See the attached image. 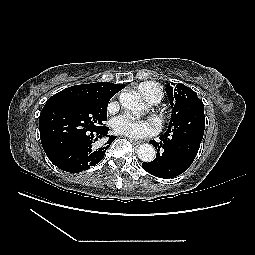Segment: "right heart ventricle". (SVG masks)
<instances>
[{"mask_svg":"<svg viewBox=\"0 0 255 255\" xmlns=\"http://www.w3.org/2000/svg\"><path fill=\"white\" fill-rule=\"evenodd\" d=\"M152 87L154 90H155V95L156 97L161 100L162 97H163V91L162 89L160 88L159 85H157L156 83H152V82H145V83H142L140 84L138 87H137V92L140 94V96L142 98H144L146 101H148L147 97H148V87Z\"/></svg>","mask_w":255,"mask_h":255,"instance_id":"e07e8e85","label":"right heart ventricle"}]
</instances>
